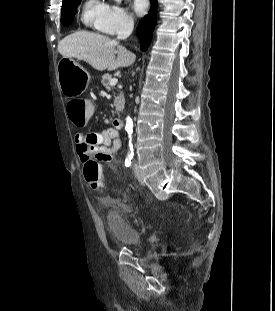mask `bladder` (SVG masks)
Here are the masks:
<instances>
[{
    "instance_id": "1",
    "label": "bladder",
    "mask_w": 275,
    "mask_h": 311,
    "mask_svg": "<svg viewBox=\"0 0 275 311\" xmlns=\"http://www.w3.org/2000/svg\"><path fill=\"white\" fill-rule=\"evenodd\" d=\"M107 229L114 242L121 247H132L139 243L140 234L119 211H109L105 215Z\"/></svg>"
}]
</instances>
